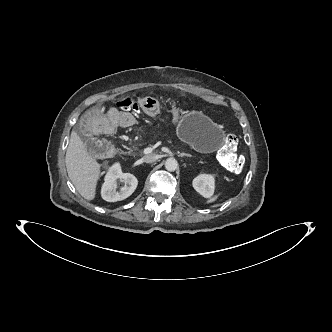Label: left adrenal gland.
<instances>
[{
    "mask_svg": "<svg viewBox=\"0 0 332 332\" xmlns=\"http://www.w3.org/2000/svg\"><path fill=\"white\" fill-rule=\"evenodd\" d=\"M179 156H180V157H184V156L192 157V155H190V154H186V153H180Z\"/></svg>",
    "mask_w": 332,
    "mask_h": 332,
    "instance_id": "1",
    "label": "left adrenal gland"
}]
</instances>
